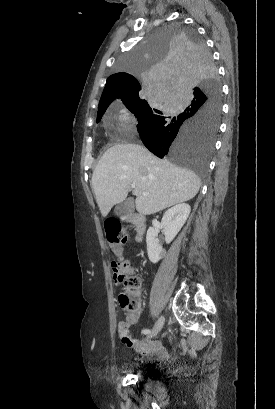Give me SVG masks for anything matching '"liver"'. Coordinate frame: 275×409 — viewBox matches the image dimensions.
Returning <instances> with one entry per match:
<instances>
[{
  "label": "liver",
  "instance_id": "obj_1",
  "mask_svg": "<svg viewBox=\"0 0 275 409\" xmlns=\"http://www.w3.org/2000/svg\"><path fill=\"white\" fill-rule=\"evenodd\" d=\"M131 184L140 215H153L197 194L200 180L189 168L157 158L141 144H114L105 150L92 174L102 217L125 200ZM147 192V194H142Z\"/></svg>",
  "mask_w": 275,
  "mask_h": 409
}]
</instances>
